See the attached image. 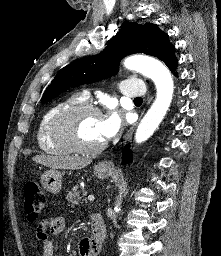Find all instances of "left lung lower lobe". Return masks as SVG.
Returning <instances> with one entry per match:
<instances>
[{
	"instance_id": "0a47b994",
	"label": "left lung lower lobe",
	"mask_w": 221,
	"mask_h": 256,
	"mask_svg": "<svg viewBox=\"0 0 221 256\" xmlns=\"http://www.w3.org/2000/svg\"><path fill=\"white\" fill-rule=\"evenodd\" d=\"M175 75H176V73H175ZM131 159H132V156L130 155V146L126 145L125 149L123 151V156H122L123 163L126 164V163L130 162Z\"/></svg>"
}]
</instances>
